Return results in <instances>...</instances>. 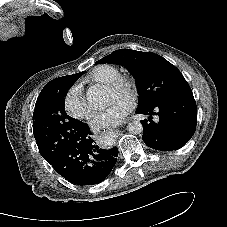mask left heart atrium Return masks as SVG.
I'll use <instances>...</instances> for the list:
<instances>
[{"label":"left heart atrium","mask_w":227,"mask_h":227,"mask_svg":"<svg viewBox=\"0 0 227 227\" xmlns=\"http://www.w3.org/2000/svg\"><path fill=\"white\" fill-rule=\"evenodd\" d=\"M132 109V100L128 96L116 98L101 110L94 118L97 128L112 127L121 123Z\"/></svg>","instance_id":"left-heart-atrium-1"}]
</instances>
